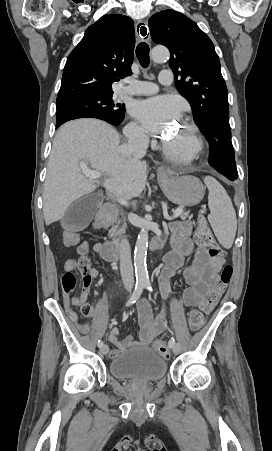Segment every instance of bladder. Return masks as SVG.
<instances>
[{
  "label": "bladder",
  "instance_id": "obj_1",
  "mask_svg": "<svg viewBox=\"0 0 272 451\" xmlns=\"http://www.w3.org/2000/svg\"><path fill=\"white\" fill-rule=\"evenodd\" d=\"M167 362L151 349H132L120 353L108 363V372L119 382L134 381L150 383L165 378Z\"/></svg>",
  "mask_w": 272,
  "mask_h": 451
}]
</instances>
